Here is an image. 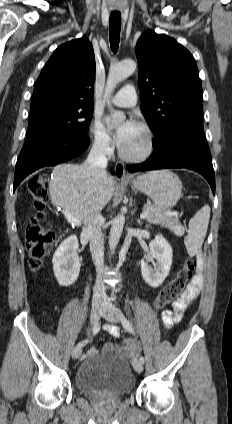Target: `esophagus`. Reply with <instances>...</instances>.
<instances>
[{"label": "esophagus", "instance_id": "34e87169", "mask_svg": "<svg viewBox=\"0 0 232 424\" xmlns=\"http://www.w3.org/2000/svg\"><path fill=\"white\" fill-rule=\"evenodd\" d=\"M114 173L117 179H130V176L126 173L125 166L122 162H117L115 164Z\"/></svg>", "mask_w": 232, "mask_h": 424}]
</instances>
